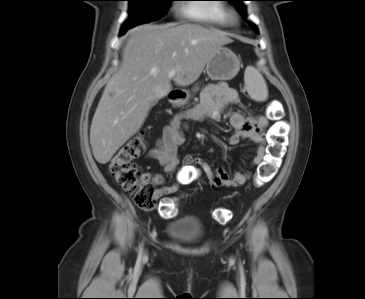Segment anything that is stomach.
Instances as JSON below:
<instances>
[{
	"label": "stomach",
	"instance_id": "obj_1",
	"mask_svg": "<svg viewBox=\"0 0 365 299\" xmlns=\"http://www.w3.org/2000/svg\"><path fill=\"white\" fill-rule=\"evenodd\" d=\"M240 70V60L237 55L226 47H220L206 65L207 75L212 80H231ZM188 94L183 98L172 99L176 106L186 104Z\"/></svg>",
	"mask_w": 365,
	"mask_h": 299
}]
</instances>
